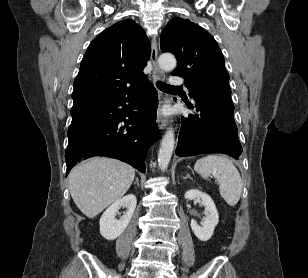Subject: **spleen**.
Returning <instances> with one entry per match:
<instances>
[{
	"instance_id": "1",
	"label": "spleen",
	"mask_w": 308,
	"mask_h": 278,
	"mask_svg": "<svg viewBox=\"0 0 308 278\" xmlns=\"http://www.w3.org/2000/svg\"><path fill=\"white\" fill-rule=\"evenodd\" d=\"M194 170L207 179L213 175L219 184L221 197L230 206L238 203L242 193V179L233 162L221 155H208L195 163Z\"/></svg>"
}]
</instances>
